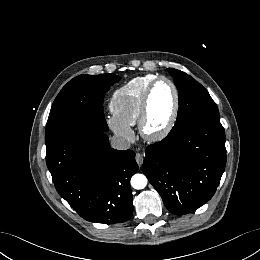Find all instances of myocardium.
Returning <instances> with one entry per match:
<instances>
[{
	"instance_id": "obj_1",
	"label": "myocardium",
	"mask_w": 260,
	"mask_h": 260,
	"mask_svg": "<svg viewBox=\"0 0 260 260\" xmlns=\"http://www.w3.org/2000/svg\"><path fill=\"white\" fill-rule=\"evenodd\" d=\"M162 81L167 82L172 87L174 93V108L167 125L162 130L158 132H149L147 130V120L149 116V105L151 96L157 84ZM180 103V93L176 84L170 78L165 76H158L157 78H155L151 82L143 96L139 119L137 122L139 133L143 137V139L151 142H157L165 139L172 132L178 120L180 112Z\"/></svg>"
}]
</instances>
